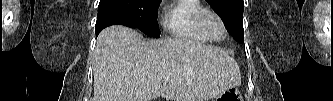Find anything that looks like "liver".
<instances>
[{
	"mask_svg": "<svg viewBox=\"0 0 333 101\" xmlns=\"http://www.w3.org/2000/svg\"><path fill=\"white\" fill-rule=\"evenodd\" d=\"M93 75L92 101H207L241 84L224 49L189 39L144 40L121 25L99 34Z\"/></svg>",
	"mask_w": 333,
	"mask_h": 101,
	"instance_id": "obj_1",
	"label": "liver"
}]
</instances>
